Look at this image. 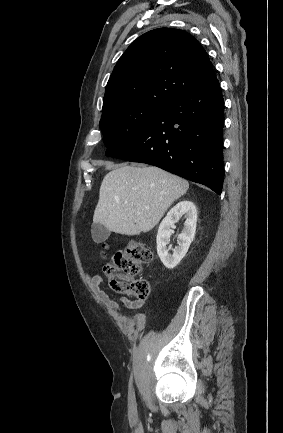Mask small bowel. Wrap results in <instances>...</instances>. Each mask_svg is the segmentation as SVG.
Wrapping results in <instances>:
<instances>
[{"label": "small bowel", "mask_w": 283, "mask_h": 433, "mask_svg": "<svg viewBox=\"0 0 283 433\" xmlns=\"http://www.w3.org/2000/svg\"><path fill=\"white\" fill-rule=\"evenodd\" d=\"M87 281L89 283V286L91 290L93 291L96 299L101 304L105 305L112 311L116 313V315L120 318L123 324H125L127 327L133 326V325H143L146 320L145 314L141 313V310L144 307L145 300L141 299H128L127 297H122L119 301L112 299L106 291L103 290L102 284L103 279L100 275H89L87 276ZM122 303L126 308L133 309L139 311L137 314V317L135 319H129L127 318L124 313L123 309L120 305Z\"/></svg>", "instance_id": "c3829d8e"}]
</instances>
